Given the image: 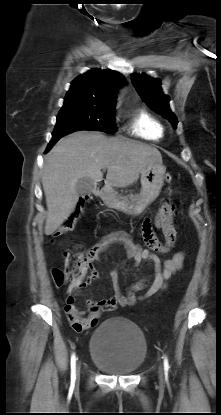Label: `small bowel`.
I'll use <instances>...</instances> for the list:
<instances>
[{
    "instance_id": "1",
    "label": "small bowel",
    "mask_w": 221,
    "mask_h": 415,
    "mask_svg": "<svg viewBox=\"0 0 221 415\" xmlns=\"http://www.w3.org/2000/svg\"><path fill=\"white\" fill-rule=\"evenodd\" d=\"M174 214V207L172 205ZM164 235V242L158 240L152 221L146 218L142 223V236L146 247L143 248L133 241L131 236L126 232H113L103 236L89 250L91 260L98 259L100 255L113 245H121L126 253L127 258L133 260V266L137 267L143 263L149 264L153 269V281L142 295L136 292L144 289L148 283V277H144L134 283L126 294H123L119 286V271L126 263L117 264L110 272V279L115 291L113 297L104 300L89 299L87 301V311L80 310L76 305V296L79 294L83 286H70L68 288L65 299V312L67 318L76 331H83L97 324L98 319L104 312H111L120 306H132L138 301L148 299L159 292L165 290L168 286L169 279L179 271L184 262L185 253L179 251L170 259H162L159 255L168 253L175 245L177 232L172 225V220L159 226ZM98 278V273L92 271L88 276V280ZM87 312V315H85Z\"/></svg>"
}]
</instances>
